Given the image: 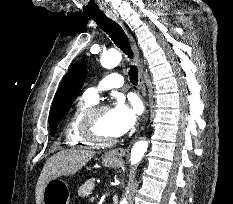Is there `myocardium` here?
Returning a JSON list of instances; mask_svg holds the SVG:
<instances>
[{
  "label": "myocardium",
  "mask_w": 233,
  "mask_h": 204,
  "mask_svg": "<svg viewBox=\"0 0 233 204\" xmlns=\"http://www.w3.org/2000/svg\"><path fill=\"white\" fill-rule=\"evenodd\" d=\"M108 110L107 105H93L83 116L81 124V133L83 137L94 145L108 146L115 144L118 138H106L97 132V119L100 113Z\"/></svg>",
  "instance_id": "myocardium-1"
}]
</instances>
